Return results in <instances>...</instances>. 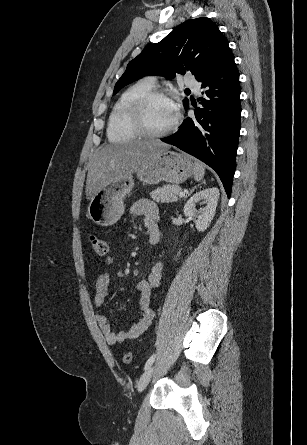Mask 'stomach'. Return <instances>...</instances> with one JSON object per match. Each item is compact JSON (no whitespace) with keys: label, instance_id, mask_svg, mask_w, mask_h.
Returning <instances> with one entry per match:
<instances>
[{"label":"stomach","instance_id":"stomach-1","mask_svg":"<svg viewBox=\"0 0 307 445\" xmlns=\"http://www.w3.org/2000/svg\"><path fill=\"white\" fill-rule=\"evenodd\" d=\"M193 172V164L185 154L163 150L151 160L150 164L140 166L137 178L145 184H158L160 180L170 184H180L187 180ZM134 176H118L110 184H104L97 194L91 198L88 214L93 223L101 227H111L120 220L125 210V196L130 194L134 186Z\"/></svg>","mask_w":307,"mask_h":445}]
</instances>
